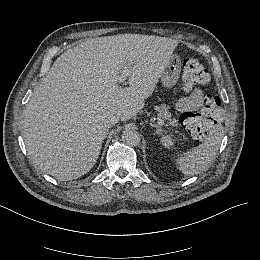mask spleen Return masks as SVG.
I'll use <instances>...</instances> for the list:
<instances>
[{
	"label": "spleen",
	"mask_w": 260,
	"mask_h": 260,
	"mask_svg": "<svg viewBox=\"0 0 260 260\" xmlns=\"http://www.w3.org/2000/svg\"><path fill=\"white\" fill-rule=\"evenodd\" d=\"M224 134V127L221 124L213 125L203 143L179 156L176 160L179 170L186 176L207 170L215 158Z\"/></svg>",
	"instance_id": "3e777b00"
}]
</instances>
